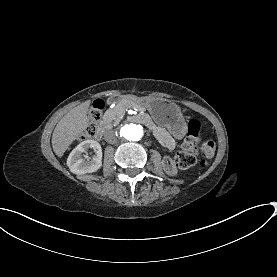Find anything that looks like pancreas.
<instances>
[{
	"label": "pancreas",
	"instance_id": "cf45deb5",
	"mask_svg": "<svg viewBox=\"0 0 277 277\" xmlns=\"http://www.w3.org/2000/svg\"><path fill=\"white\" fill-rule=\"evenodd\" d=\"M131 108L128 103L119 102L114 105L113 109L105 112L104 118L107 123L113 124L118 121L119 117H125L130 114Z\"/></svg>",
	"mask_w": 277,
	"mask_h": 277
}]
</instances>
